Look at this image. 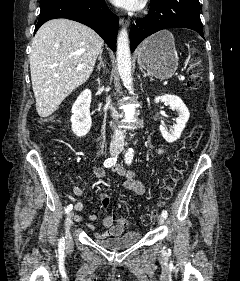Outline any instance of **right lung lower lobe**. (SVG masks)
I'll list each match as a JSON object with an SVG mask.
<instances>
[{
    "mask_svg": "<svg viewBox=\"0 0 240 281\" xmlns=\"http://www.w3.org/2000/svg\"><path fill=\"white\" fill-rule=\"evenodd\" d=\"M40 9L34 33L48 20L67 18L91 27L116 51L119 19L104 0H47L40 3Z\"/></svg>",
    "mask_w": 240,
    "mask_h": 281,
    "instance_id": "right-lung-lower-lobe-1",
    "label": "right lung lower lobe"
}]
</instances>
